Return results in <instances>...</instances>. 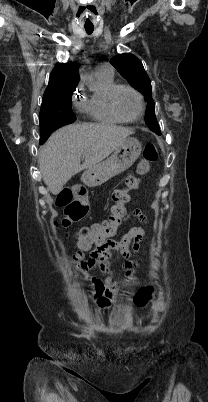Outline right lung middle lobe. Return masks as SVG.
Wrapping results in <instances>:
<instances>
[{"instance_id":"obj_1","label":"right lung middle lobe","mask_w":208,"mask_h":402,"mask_svg":"<svg viewBox=\"0 0 208 402\" xmlns=\"http://www.w3.org/2000/svg\"><path fill=\"white\" fill-rule=\"evenodd\" d=\"M75 88L52 92L43 97L40 110V123L48 120H57L61 123L70 124L76 120L71 109V95ZM46 141L41 133L40 144Z\"/></svg>"}]
</instances>
